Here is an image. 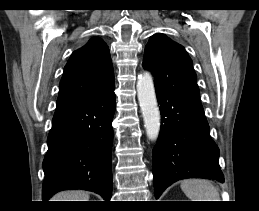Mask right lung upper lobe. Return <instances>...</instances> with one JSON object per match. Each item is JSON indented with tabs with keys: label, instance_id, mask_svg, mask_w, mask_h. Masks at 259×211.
Wrapping results in <instances>:
<instances>
[{
	"label": "right lung upper lobe",
	"instance_id": "cb5924a9",
	"mask_svg": "<svg viewBox=\"0 0 259 211\" xmlns=\"http://www.w3.org/2000/svg\"><path fill=\"white\" fill-rule=\"evenodd\" d=\"M114 88V73L108 46L99 37L74 51L60 82L58 108L80 104Z\"/></svg>",
	"mask_w": 259,
	"mask_h": 211
}]
</instances>
